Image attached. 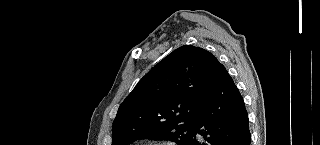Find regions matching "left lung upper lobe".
I'll return each instance as SVG.
<instances>
[{
  "mask_svg": "<svg viewBox=\"0 0 320 145\" xmlns=\"http://www.w3.org/2000/svg\"><path fill=\"white\" fill-rule=\"evenodd\" d=\"M209 51L184 45L161 60L118 109L112 145L143 138L187 145L204 105V84L218 64Z\"/></svg>",
  "mask_w": 320,
  "mask_h": 145,
  "instance_id": "obj_1",
  "label": "left lung upper lobe"
}]
</instances>
